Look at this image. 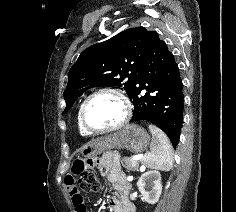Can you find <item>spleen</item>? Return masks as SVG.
I'll use <instances>...</instances> for the list:
<instances>
[{"mask_svg": "<svg viewBox=\"0 0 236 212\" xmlns=\"http://www.w3.org/2000/svg\"><path fill=\"white\" fill-rule=\"evenodd\" d=\"M152 134L150 152L142 157V163L151 169L169 171L173 167V148L167 135L158 127L149 124Z\"/></svg>", "mask_w": 236, "mask_h": 212, "instance_id": "obj_1", "label": "spleen"}]
</instances>
